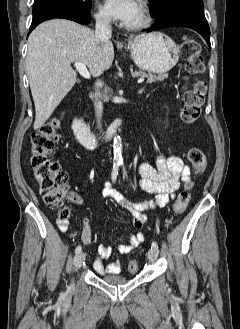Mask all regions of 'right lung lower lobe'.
I'll return each instance as SVG.
<instances>
[{
    "mask_svg": "<svg viewBox=\"0 0 240 329\" xmlns=\"http://www.w3.org/2000/svg\"><path fill=\"white\" fill-rule=\"evenodd\" d=\"M33 19L30 26V32L41 22L53 18H64L75 21L82 25H87L91 21L90 12L67 9L56 6H40L33 8Z\"/></svg>",
    "mask_w": 240,
    "mask_h": 329,
    "instance_id": "obj_1",
    "label": "right lung lower lobe"
}]
</instances>
